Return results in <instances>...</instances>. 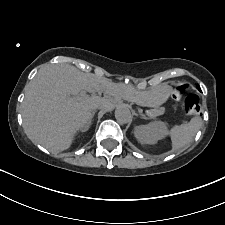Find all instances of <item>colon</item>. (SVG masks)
<instances>
[{"mask_svg": "<svg viewBox=\"0 0 225 225\" xmlns=\"http://www.w3.org/2000/svg\"><path fill=\"white\" fill-rule=\"evenodd\" d=\"M189 86L187 83L179 82L174 84L172 89V97L181 99L187 92ZM184 111L189 115H198L202 110L201 98L198 95L191 94L184 98L182 102Z\"/></svg>", "mask_w": 225, "mask_h": 225, "instance_id": "colon-1", "label": "colon"}]
</instances>
